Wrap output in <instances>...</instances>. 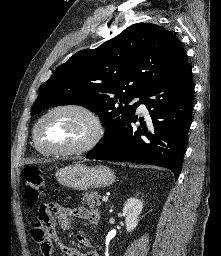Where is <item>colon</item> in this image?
Listing matches in <instances>:
<instances>
[{"mask_svg": "<svg viewBox=\"0 0 221 256\" xmlns=\"http://www.w3.org/2000/svg\"><path fill=\"white\" fill-rule=\"evenodd\" d=\"M25 199L29 206L38 203L45 188V180L42 172L35 166H27L24 169Z\"/></svg>", "mask_w": 221, "mask_h": 256, "instance_id": "colon-1", "label": "colon"}]
</instances>
